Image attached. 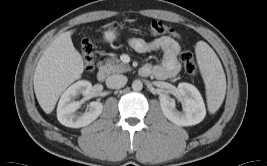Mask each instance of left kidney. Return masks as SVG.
<instances>
[{"label":"left kidney","mask_w":267,"mask_h":166,"mask_svg":"<svg viewBox=\"0 0 267 166\" xmlns=\"http://www.w3.org/2000/svg\"><path fill=\"white\" fill-rule=\"evenodd\" d=\"M178 93L182 98L183 111L176 109L175 100L168 95L160 97V105L164 116L178 126H192L200 123L206 108L198 89L189 83H180Z\"/></svg>","instance_id":"left-kidney-1"}]
</instances>
